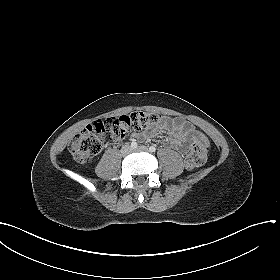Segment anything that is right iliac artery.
Segmentation results:
<instances>
[{
    "mask_svg": "<svg viewBox=\"0 0 280 280\" xmlns=\"http://www.w3.org/2000/svg\"><path fill=\"white\" fill-rule=\"evenodd\" d=\"M131 147H132L133 149H135V148L138 147V144H137L135 141H132V142H131Z\"/></svg>",
    "mask_w": 280,
    "mask_h": 280,
    "instance_id": "obj_1",
    "label": "right iliac artery"
}]
</instances>
